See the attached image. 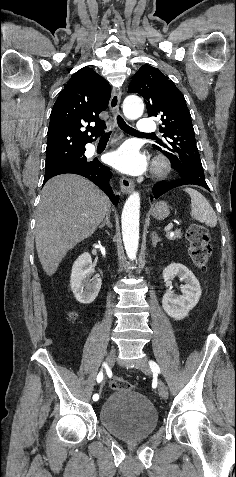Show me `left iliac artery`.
Masks as SVG:
<instances>
[{"instance_id":"1","label":"left iliac artery","mask_w":236,"mask_h":477,"mask_svg":"<svg viewBox=\"0 0 236 477\" xmlns=\"http://www.w3.org/2000/svg\"><path fill=\"white\" fill-rule=\"evenodd\" d=\"M149 365L153 373H160V368L154 361H149Z\"/></svg>"}]
</instances>
